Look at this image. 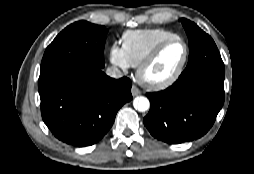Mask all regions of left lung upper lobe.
I'll return each instance as SVG.
<instances>
[{
	"label": "left lung upper lobe",
	"instance_id": "1",
	"mask_svg": "<svg viewBox=\"0 0 254 174\" xmlns=\"http://www.w3.org/2000/svg\"><path fill=\"white\" fill-rule=\"evenodd\" d=\"M189 40L188 64L180 78L189 77L202 70L224 71V63L213 39L195 23L180 19Z\"/></svg>",
	"mask_w": 254,
	"mask_h": 174
}]
</instances>
